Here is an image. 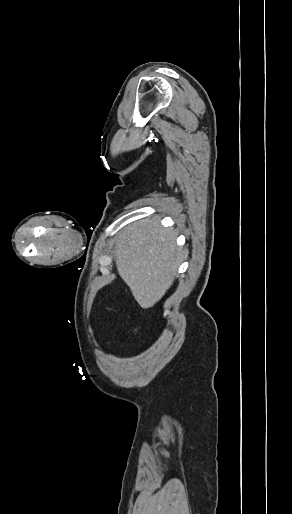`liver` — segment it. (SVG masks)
<instances>
[{"instance_id":"liver-1","label":"liver","mask_w":292,"mask_h":514,"mask_svg":"<svg viewBox=\"0 0 292 514\" xmlns=\"http://www.w3.org/2000/svg\"><path fill=\"white\" fill-rule=\"evenodd\" d=\"M159 218L129 224L116 246V268L141 308H152L169 290L181 264L177 232Z\"/></svg>"}]
</instances>
